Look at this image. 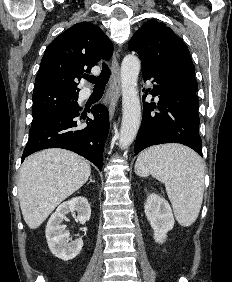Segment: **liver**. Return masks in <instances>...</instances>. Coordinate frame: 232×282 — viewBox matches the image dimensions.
<instances>
[{
    "instance_id": "6515ba94",
    "label": "liver",
    "mask_w": 232,
    "mask_h": 282,
    "mask_svg": "<svg viewBox=\"0 0 232 282\" xmlns=\"http://www.w3.org/2000/svg\"><path fill=\"white\" fill-rule=\"evenodd\" d=\"M90 174L89 162L68 150L46 149L26 158L20 169L18 197L28 227L38 228Z\"/></svg>"
}]
</instances>
